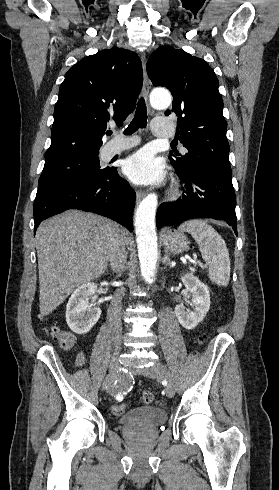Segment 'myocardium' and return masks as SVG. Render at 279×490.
I'll list each match as a JSON object with an SVG mask.
<instances>
[{"instance_id": "1", "label": "myocardium", "mask_w": 279, "mask_h": 490, "mask_svg": "<svg viewBox=\"0 0 279 490\" xmlns=\"http://www.w3.org/2000/svg\"><path fill=\"white\" fill-rule=\"evenodd\" d=\"M175 195H176V192H173V193H172V196H175Z\"/></svg>"}]
</instances>
